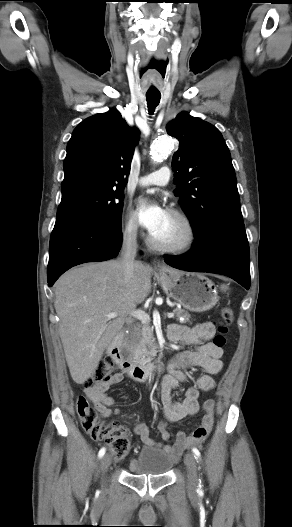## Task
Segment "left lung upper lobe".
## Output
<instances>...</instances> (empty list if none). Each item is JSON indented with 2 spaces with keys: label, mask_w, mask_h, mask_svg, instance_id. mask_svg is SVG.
Masks as SVG:
<instances>
[{
  "label": "left lung upper lobe",
  "mask_w": 292,
  "mask_h": 527,
  "mask_svg": "<svg viewBox=\"0 0 292 527\" xmlns=\"http://www.w3.org/2000/svg\"><path fill=\"white\" fill-rule=\"evenodd\" d=\"M166 130L180 143L172 159L175 195L195 238L222 228L244 229L235 171L219 130L186 112Z\"/></svg>",
  "instance_id": "5c2ea615"
}]
</instances>
